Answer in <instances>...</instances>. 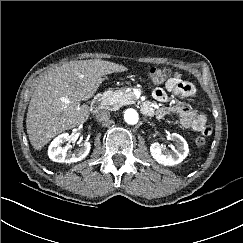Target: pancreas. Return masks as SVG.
<instances>
[{
	"label": "pancreas",
	"mask_w": 243,
	"mask_h": 243,
	"mask_svg": "<svg viewBox=\"0 0 243 243\" xmlns=\"http://www.w3.org/2000/svg\"><path fill=\"white\" fill-rule=\"evenodd\" d=\"M103 99L108 108L117 110L123 105L134 103L135 95L133 91L128 89L109 90L104 94Z\"/></svg>",
	"instance_id": "1"
}]
</instances>
